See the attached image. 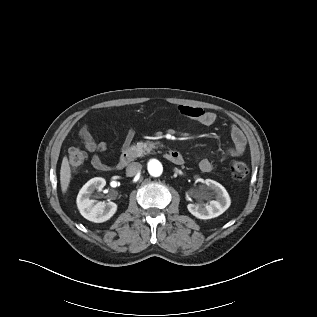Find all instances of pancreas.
Instances as JSON below:
<instances>
[{
  "label": "pancreas",
  "instance_id": "1",
  "mask_svg": "<svg viewBox=\"0 0 317 317\" xmlns=\"http://www.w3.org/2000/svg\"><path fill=\"white\" fill-rule=\"evenodd\" d=\"M159 142L152 143V142H138L135 145H132L128 150L127 153L132 157H141L147 153H149L153 148H156Z\"/></svg>",
  "mask_w": 317,
  "mask_h": 317
}]
</instances>
